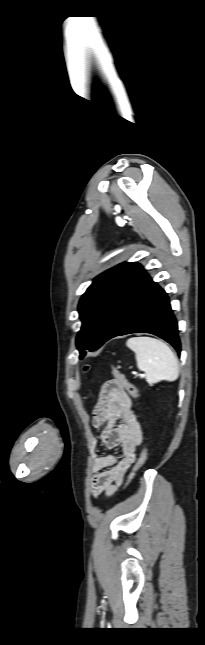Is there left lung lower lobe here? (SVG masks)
<instances>
[{
  "instance_id": "obj_1",
  "label": "left lung lower lobe",
  "mask_w": 205,
  "mask_h": 645,
  "mask_svg": "<svg viewBox=\"0 0 205 645\" xmlns=\"http://www.w3.org/2000/svg\"><path fill=\"white\" fill-rule=\"evenodd\" d=\"M131 333L154 334L180 354L176 318L167 293L136 263L114 303L110 326L103 340ZM102 344V345H103Z\"/></svg>"
}]
</instances>
